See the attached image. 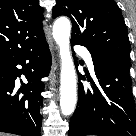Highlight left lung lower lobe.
<instances>
[{
  "label": "left lung lower lobe",
  "mask_w": 136,
  "mask_h": 136,
  "mask_svg": "<svg viewBox=\"0 0 136 136\" xmlns=\"http://www.w3.org/2000/svg\"><path fill=\"white\" fill-rule=\"evenodd\" d=\"M89 52L99 86L78 84L79 100L68 136H136L129 66Z\"/></svg>",
  "instance_id": "left-lung-lower-lobe-1"
}]
</instances>
